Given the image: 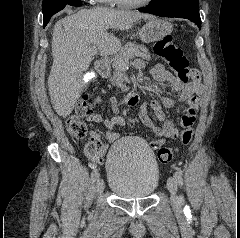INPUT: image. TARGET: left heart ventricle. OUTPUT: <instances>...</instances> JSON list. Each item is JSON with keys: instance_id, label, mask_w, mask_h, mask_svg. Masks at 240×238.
<instances>
[{"instance_id": "b2bd125f", "label": "left heart ventricle", "mask_w": 240, "mask_h": 238, "mask_svg": "<svg viewBox=\"0 0 240 238\" xmlns=\"http://www.w3.org/2000/svg\"><path fill=\"white\" fill-rule=\"evenodd\" d=\"M124 1H127V2H140V1H143V0H124Z\"/></svg>"}]
</instances>
